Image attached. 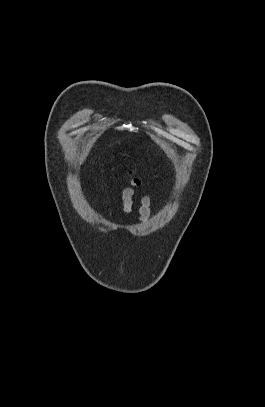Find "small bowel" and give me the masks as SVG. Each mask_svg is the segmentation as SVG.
Segmentation results:
<instances>
[{"label": "small bowel", "instance_id": "1", "mask_svg": "<svg viewBox=\"0 0 265 407\" xmlns=\"http://www.w3.org/2000/svg\"><path fill=\"white\" fill-rule=\"evenodd\" d=\"M136 196V190L132 187H127L122 193V211L124 214H129L132 211L133 199ZM151 215V199L149 196L141 198L139 207V220L141 223H146Z\"/></svg>", "mask_w": 265, "mask_h": 407}]
</instances>
